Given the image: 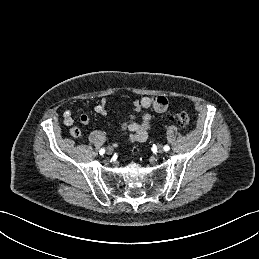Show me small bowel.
Wrapping results in <instances>:
<instances>
[{
	"mask_svg": "<svg viewBox=\"0 0 259 259\" xmlns=\"http://www.w3.org/2000/svg\"><path fill=\"white\" fill-rule=\"evenodd\" d=\"M168 108V100L164 96L143 97L133 103V110H143L139 120L136 114L132 113L121 124V131L125 134V141L129 143L144 142L148 138V131L152 122L151 110L157 113H164ZM95 112L99 115H107V100L101 99L94 108ZM80 121L83 124L89 123V117L86 114L80 115ZM63 122L67 126L74 124V118L70 110L63 112Z\"/></svg>",
	"mask_w": 259,
	"mask_h": 259,
	"instance_id": "c3829d8e",
	"label": "small bowel"
}]
</instances>
